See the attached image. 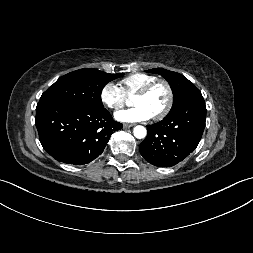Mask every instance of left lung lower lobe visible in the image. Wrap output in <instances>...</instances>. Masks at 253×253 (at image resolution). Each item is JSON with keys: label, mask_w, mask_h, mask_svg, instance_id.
<instances>
[{"label": "left lung lower lobe", "mask_w": 253, "mask_h": 253, "mask_svg": "<svg viewBox=\"0 0 253 253\" xmlns=\"http://www.w3.org/2000/svg\"><path fill=\"white\" fill-rule=\"evenodd\" d=\"M205 120V102L196 89L162 121L147 126V137L140 144L141 155L158 167L178 164L198 146Z\"/></svg>", "instance_id": "left-lung-lower-lobe-1"}]
</instances>
